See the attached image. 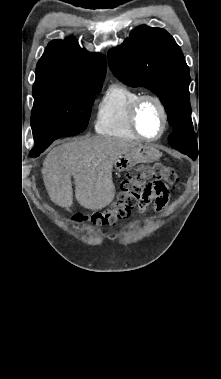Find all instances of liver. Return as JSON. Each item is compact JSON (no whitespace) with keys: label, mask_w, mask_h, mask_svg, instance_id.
I'll return each instance as SVG.
<instances>
[{"label":"liver","mask_w":221,"mask_h":379,"mask_svg":"<svg viewBox=\"0 0 221 379\" xmlns=\"http://www.w3.org/2000/svg\"><path fill=\"white\" fill-rule=\"evenodd\" d=\"M138 144L129 140L95 136L59 145L47 154L42 168L50 199L58 206L73 204L75 196L86 209L100 210L115 197L112 168L115 161Z\"/></svg>","instance_id":"6515ba94"}]
</instances>
